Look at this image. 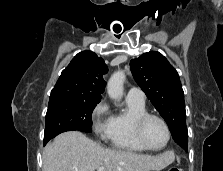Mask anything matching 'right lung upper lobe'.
Instances as JSON below:
<instances>
[{"instance_id":"right-lung-upper-lobe-1","label":"right lung upper lobe","mask_w":223,"mask_h":171,"mask_svg":"<svg viewBox=\"0 0 223 171\" xmlns=\"http://www.w3.org/2000/svg\"><path fill=\"white\" fill-rule=\"evenodd\" d=\"M108 67L101 57L92 51L78 53L62 71L50 100L79 98L100 101L106 81L103 76Z\"/></svg>"}]
</instances>
